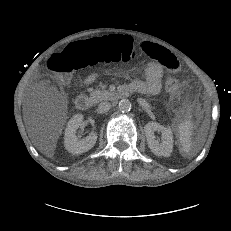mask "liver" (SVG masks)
Instances as JSON below:
<instances>
[{
	"label": "liver",
	"instance_id": "1",
	"mask_svg": "<svg viewBox=\"0 0 231 231\" xmlns=\"http://www.w3.org/2000/svg\"><path fill=\"white\" fill-rule=\"evenodd\" d=\"M38 149L40 151H42L44 154H46L49 157L53 156V151H54V147L53 146H47L45 144H38Z\"/></svg>",
	"mask_w": 231,
	"mask_h": 231
}]
</instances>
